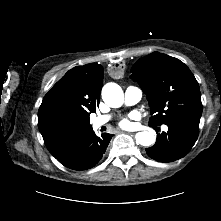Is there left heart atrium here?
<instances>
[{
  "instance_id": "obj_1",
  "label": "left heart atrium",
  "mask_w": 221,
  "mask_h": 221,
  "mask_svg": "<svg viewBox=\"0 0 221 221\" xmlns=\"http://www.w3.org/2000/svg\"><path fill=\"white\" fill-rule=\"evenodd\" d=\"M138 118L136 113H130L128 116L119 120L118 124L123 129H131L134 127V120Z\"/></svg>"
}]
</instances>
